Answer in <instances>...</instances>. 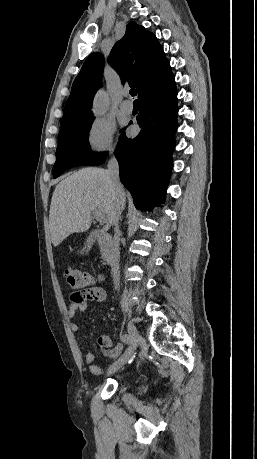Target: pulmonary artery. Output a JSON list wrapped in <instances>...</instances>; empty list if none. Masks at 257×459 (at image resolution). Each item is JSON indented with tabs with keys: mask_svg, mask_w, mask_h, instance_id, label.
<instances>
[{
	"mask_svg": "<svg viewBox=\"0 0 257 459\" xmlns=\"http://www.w3.org/2000/svg\"><path fill=\"white\" fill-rule=\"evenodd\" d=\"M120 109L123 113L130 114L133 111V104L129 100H124L120 105Z\"/></svg>",
	"mask_w": 257,
	"mask_h": 459,
	"instance_id": "1",
	"label": "pulmonary artery"
}]
</instances>
